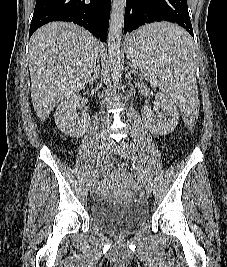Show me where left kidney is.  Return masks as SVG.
Here are the masks:
<instances>
[{"label":"left kidney","instance_id":"5707ae66","mask_svg":"<svg viewBox=\"0 0 227 267\" xmlns=\"http://www.w3.org/2000/svg\"><path fill=\"white\" fill-rule=\"evenodd\" d=\"M156 100L161 112L158 117H155L151 109H146L144 112L145 125L155 135H166L176 128L179 113L172 99L164 94L158 93Z\"/></svg>","mask_w":227,"mask_h":267}]
</instances>
